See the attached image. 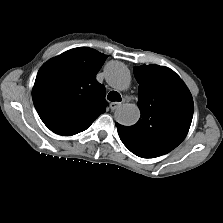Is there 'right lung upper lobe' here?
Here are the masks:
<instances>
[{
	"label": "right lung upper lobe",
	"instance_id": "right-lung-upper-lobe-1",
	"mask_svg": "<svg viewBox=\"0 0 223 223\" xmlns=\"http://www.w3.org/2000/svg\"><path fill=\"white\" fill-rule=\"evenodd\" d=\"M107 57L94 49L78 47L40 68L32 98L51 131L63 136L77 134L105 112V87L96 80V74Z\"/></svg>",
	"mask_w": 223,
	"mask_h": 223
}]
</instances>
